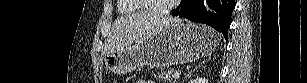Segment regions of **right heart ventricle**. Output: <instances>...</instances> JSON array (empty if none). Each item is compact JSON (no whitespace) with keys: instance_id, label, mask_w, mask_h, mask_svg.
I'll return each instance as SVG.
<instances>
[{"instance_id":"1","label":"right heart ventricle","mask_w":307,"mask_h":83,"mask_svg":"<svg viewBox=\"0 0 307 83\" xmlns=\"http://www.w3.org/2000/svg\"><path fill=\"white\" fill-rule=\"evenodd\" d=\"M141 9L144 11L143 8L133 0H119L118 1V12L119 14H131L140 12Z\"/></svg>"}]
</instances>
